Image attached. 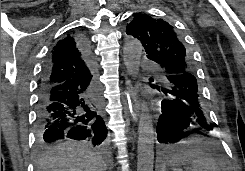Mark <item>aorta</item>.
Segmentation results:
<instances>
[{
    "mask_svg": "<svg viewBox=\"0 0 245 171\" xmlns=\"http://www.w3.org/2000/svg\"><path fill=\"white\" fill-rule=\"evenodd\" d=\"M142 45L138 40L127 41L123 49V61L128 73L137 77L139 73ZM138 125L137 171H153L154 163V129L152 117L146 107Z\"/></svg>",
    "mask_w": 245,
    "mask_h": 171,
    "instance_id": "1",
    "label": "aorta"
}]
</instances>
